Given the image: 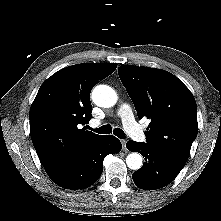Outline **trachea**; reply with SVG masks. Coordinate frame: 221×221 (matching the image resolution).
I'll return each mask as SVG.
<instances>
[{
    "label": "trachea",
    "instance_id": "1",
    "mask_svg": "<svg viewBox=\"0 0 221 221\" xmlns=\"http://www.w3.org/2000/svg\"><path fill=\"white\" fill-rule=\"evenodd\" d=\"M94 132L98 134H110L112 132V127L110 125H103L100 128L92 129ZM113 134L116 135L118 138L123 139L125 138V133L120 128H115Z\"/></svg>",
    "mask_w": 221,
    "mask_h": 221
}]
</instances>
